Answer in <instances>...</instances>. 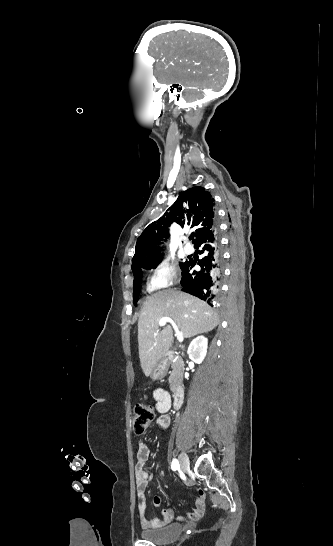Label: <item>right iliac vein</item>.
<instances>
[{"mask_svg": "<svg viewBox=\"0 0 333 546\" xmlns=\"http://www.w3.org/2000/svg\"><path fill=\"white\" fill-rule=\"evenodd\" d=\"M180 460V468L182 471H186L189 469V458L186 453H181L179 456Z\"/></svg>", "mask_w": 333, "mask_h": 546, "instance_id": "obj_1", "label": "right iliac vein"}]
</instances>
